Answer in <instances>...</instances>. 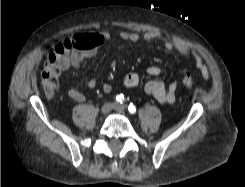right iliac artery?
I'll return each instance as SVG.
<instances>
[{
    "label": "right iliac artery",
    "instance_id": "1",
    "mask_svg": "<svg viewBox=\"0 0 245 187\" xmlns=\"http://www.w3.org/2000/svg\"><path fill=\"white\" fill-rule=\"evenodd\" d=\"M124 95L123 94H119L116 96V101L119 103H122L124 101Z\"/></svg>",
    "mask_w": 245,
    "mask_h": 187
}]
</instances>
